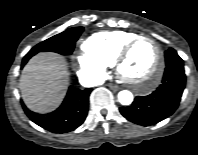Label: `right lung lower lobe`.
Listing matches in <instances>:
<instances>
[{
    "instance_id": "right-lung-lower-lobe-1",
    "label": "right lung lower lobe",
    "mask_w": 198,
    "mask_h": 155,
    "mask_svg": "<svg viewBox=\"0 0 198 155\" xmlns=\"http://www.w3.org/2000/svg\"><path fill=\"white\" fill-rule=\"evenodd\" d=\"M29 59H23L22 67ZM91 90H80L71 86L62 105L49 114L34 113L26 106H23V109L34 123L45 130L53 133L70 132L84 122L88 112V99Z\"/></svg>"
}]
</instances>
